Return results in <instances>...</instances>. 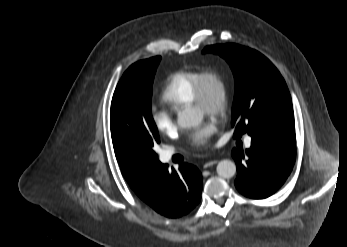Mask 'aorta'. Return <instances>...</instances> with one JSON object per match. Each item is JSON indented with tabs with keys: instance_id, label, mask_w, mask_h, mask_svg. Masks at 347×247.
I'll list each match as a JSON object with an SVG mask.
<instances>
[{
	"instance_id": "1",
	"label": "aorta",
	"mask_w": 347,
	"mask_h": 247,
	"mask_svg": "<svg viewBox=\"0 0 347 247\" xmlns=\"http://www.w3.org/2000/svg\"><path fill=\"white\" fill-rule=\"evenodd\" d=\"M203 119L200 111L193 108H186L178 114V126L181 128H191L199 125ZM217 173L220 177L229 179L236 173V165L233 161L224 159L217 165Z\"/></svg>"
}]
</instances>
